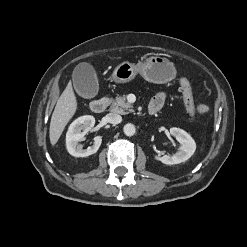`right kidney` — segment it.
Returning a JSON list of instances; mask_svg holds the SVG:
<instances>
[{"label": "right kidney", "mask_w": 247, "mask_h": 247, "mask_svg": "<svg viewBox=\"0 0 247 247\" xmlns=\"http://www.w3.org/2000/svg\"><path fill=\"white\" fill-rule=\"evenodd\" d=\"M94 124L95 118L91 115L81 116L71 123L66 134V147L70 155L74 157H87L98 151L102 143L101 136H96L94 144L87 149H83L82 145H79V142L94 127Z\"/></svg>", "instance_id": "obj_1"}]
</instances>
